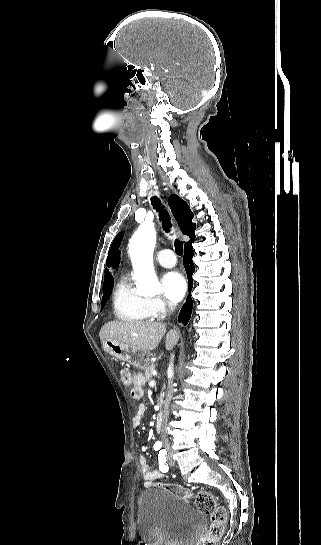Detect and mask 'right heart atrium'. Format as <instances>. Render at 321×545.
<instances>
[{
    "label": "right heart atrium",
    "instance_id": "obj_1",
    "mask_svg": "<svg viewBox=\"0 0 321 545\" xmlns=\"http://www.w3.org/2000/svg\"><path fill=\"white\" fill-rule=\"evenodd\" d=\"M149 316L152 319L162 320L173 309V307L163 300L144 301Z\"/></svg>",
    "mask_w": 321,
    "mask_h": 545
}]
</instances>
